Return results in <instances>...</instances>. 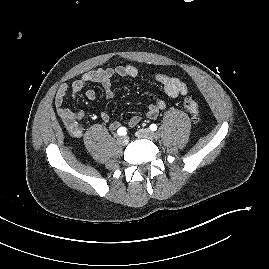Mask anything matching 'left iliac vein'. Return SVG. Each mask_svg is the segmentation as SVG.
<instances>
[{
    "instance_id": "4c4485c4",
    "label": "left iliac vein",
    "mask_w": 269,
    "mask_h": 269,
    "mask_svg": "<svg viewBox=\"0 0 269 269\" xmlns=\"http://www.w3.org/2000/svg\"><path fill=\"white\" fill-rule=\"evenodd\" d=\"M136 136L139 138H147L153 140L155 138V133L148 128H143L136 132Z\"/></svg>"
}]
</instances>
